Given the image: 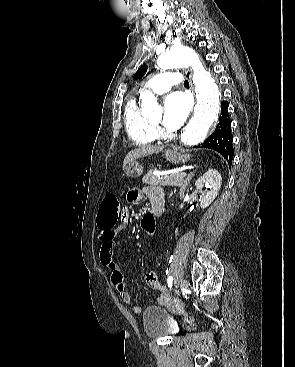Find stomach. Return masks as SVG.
Wrapping results in <instances>:
<instances>
[{
	"mask_svg": "<svg viewBox=\"0 0 295 367\" xmlns=\"http://www.w3.org/2000/svg\"><path fill=\"white\" fill-rule=\"evenodd\" d=\"M165 158L171 163H181L190 160V154L186 152H178L177 150H168L165 153ZM125 174L130 178H137L143 173L142 166L132 161L124 167Z\"/></svg>",
	"mask_w": 295,
	"mask_h": 367,
	"instance_id": "obj_1",
	"label": "stomach"
}]
</instances>
